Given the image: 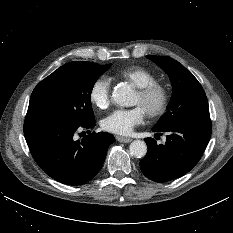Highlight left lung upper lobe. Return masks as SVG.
Listing matches in <instances>:
<instances>
[{"label": "left lung upper lobe", "instance_id": "1", "mask_svg": "<svg viewBox=\"0 0 233 233\" xmlns=\"http://www.w3.org/2000/svg\"><path fill=\"white\" fill-rule=\"evenodd\" d=\"M159 65L169 76L173 95L167 112L154 126L159 130L188 118H210L206 94L198 80L178 61L168 56H147Z\"/></svg>", "mask_w": 233, "mask_h": 233}]
</instances>
